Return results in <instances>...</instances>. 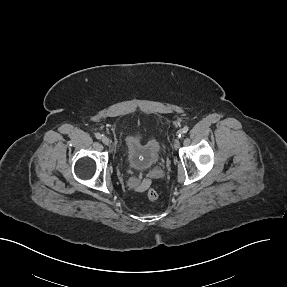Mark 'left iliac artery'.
Segmentation results:
<instances>
[{
  "mask_svg": "<svg viewBox=\"0 0 287 287\" xmlns=\"http://www.w3.org/2000/svg\"><path fill=\"white\" fill-rule=\"evenodd\" d=\"M189 128L187 126L183 127L181 132H179V137H181L184 133H187Z\"/></svg>",
  "mask_w": 287,
  "mask_h": 287,
  "instance_id": "1",
  "label": "left iliac artery"
}]
</instances>
